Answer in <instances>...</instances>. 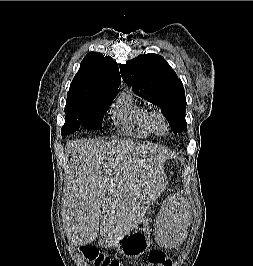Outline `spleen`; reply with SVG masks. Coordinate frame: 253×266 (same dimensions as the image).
I'll use <instances>...</instances> for the list:
<instances>
[{
    "label": "spleen",
    "instance_id": "spleen-1",
    "mask_svg": "<svg viewBox=\"0 0 253 266\" xmlns=\"http://www.w3.org/2000/svg\"><path fill=\"white\" fill-rule=\"evenodd\" d=\"M185 224H188L187 207H162L154 222L159 246H183Z\"/></svg>",
    "mask_w": 253,
    "mask_h": 266
}]
</instances>
